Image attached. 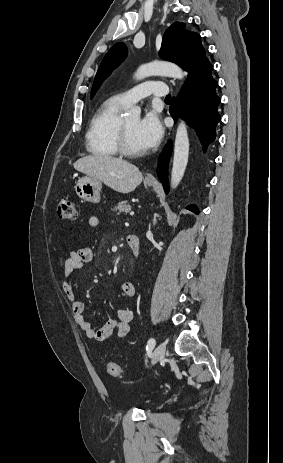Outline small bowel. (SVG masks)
Masks as SVG:
<instances>
[{"instance_id": "obj_1", "label": "small bowel", "mask_w": 283, "mask_h": 463, "mask_svg": "<svg viewBox=\"0 0 283 463\" xmlns=\"http://www.w3.org/2000/svg\"><path fill=\"white\" fill-rule=\"evenodd\" d=\"M88 224L91 228L96 229L100 225V220L98 217L92 216L89 218ZM93 257V249L89 246H83L72 251L64 263L62 286L66 298L71 303L74 321L88 338L95 341H106L114 334L118 337H125L130 331V323L133 320V311L130 308H119L115 319H110L101 328L96 329L93 321L85 315L84 302L76 297L71 275L75 270L91 262ZM120 293L123 297L131 299L135 295V287L132 283L125 282L120 287Z\"/></svg>"}]
</instances>
